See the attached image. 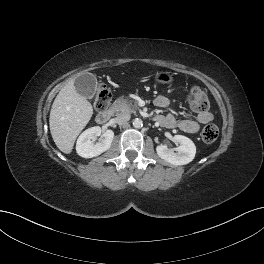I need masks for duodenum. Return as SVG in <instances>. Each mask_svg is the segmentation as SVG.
Masks as SVG:
<instances>
[{
	"label": "duodenum",
	"mask_w": 264,
	"mask_h": 264,
	"mask_svg": "<svg viewBox=\"0 0 264 264\" xmlns=\"http://www.w3.org/2000/svg\"><path fill=\"white\" fill-rule=\"evenodd\" d=\"M113 112L112 110H103L98 113L96 120L99 124H106L112 118Z\"/></svg>",
	"instance_id": "410a0bca"
}]
</instances>
